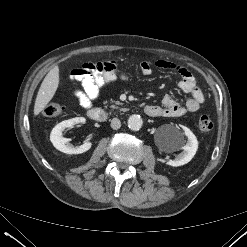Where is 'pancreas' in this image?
I'll list each match as a JSON object with an SVG mask.
<instances>
[{"instance_id": "pancreas-1", "label": "pancreas", "mask_w": 247, "mask_h": 247, "mask_svg": "<svg viewBox=\"0 0 247 247\" xmlns=\"http://www.w3.org/2000/svg\"><path fill=\"white\" fill-rule=\"evenodd\" d=\"M116 105H123V103H121L120 101H115ZM116 105H111V108L113 109H117L119 107H117ZM122 111H126V108H121Z\"/></svg>"}]
</instances>
